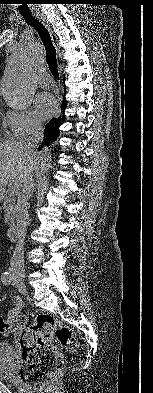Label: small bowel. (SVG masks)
I'll return each mask as SVG.
<instances>
[{
	"label": "small bowel",
	"instance_id": "c3829d8e",
	"mask_svg": "<svg viewBox=\"0 0 153 393\" xmlns=\"http://www.w3.org/2000/svg\"><path fill=\"white\" fill-rule=\"evenodd\" d=\"M0 292H1V287H0ZM12 301H13V307L11 309L7 310V312H6V314L8 316L17 314L22 308V300L20 297H18V296L13 297ZM2 345H5V344H2Z\"/></svg>",
	"mask_w": 153,
	"mask_h": 393
}]
</instances>
